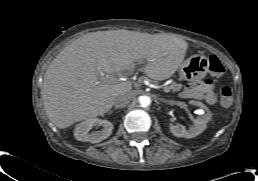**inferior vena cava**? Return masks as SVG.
Listing matches in <instances>:
<instances>
[{"label": "inferior vena cava", "mask_w": 258, "mask_h": 181, "mask_svg": "<svg viewBox=\"0 0 258 181\" xmlns=\"http://www.w3.org/2000/svg\"><path fill=\"white\" fill-rule=\"evenodd\" d=\"M132 99V95L130 93L120 94L115 98L114 105L116 108L120 109L125 107Z\"/></svg>", "instance_id": "obj_1"}]
</instances>
